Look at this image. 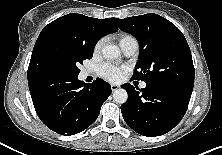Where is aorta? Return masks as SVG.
Masks as SVG:
<instances>
[{
  "label": "aorta",
  "instance_id": "762f6f07",
  "mask_svg": "<svg viewBox=\"0 0 222 155\" xmlns=\"http://www.w3.org/2000/svg\"><path fill=\"white\" fill-rule=\"evenodd\" d=\"M102 54L106 59H116L120 56V49L115 45L105 46L102 49ZM113 99L116 103L123 104L128 99L126 90L119 88L113 92Z\"/></svg>",
  "mask_w": 222,
  "mask_h": 155
}]
</instances>
